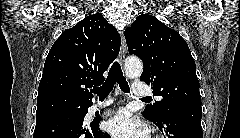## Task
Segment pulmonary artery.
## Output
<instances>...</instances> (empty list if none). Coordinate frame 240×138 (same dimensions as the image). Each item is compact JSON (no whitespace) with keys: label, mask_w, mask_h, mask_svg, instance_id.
Here are the masks:
<instances>
[{"label":"pulmonary artery","mask_w":240,"mask_h":138,"mask_svg":"<svg viewBox=\"0 0 240 138\" xmlns=\"http://www.w3.org/2000/svg\"><path fill=\"white\" fill-rule=\"evenodd\" d=\"M132 93L136 97L143 98V97H146V96L149 95L150 90L144 83L135 82L133 84V87H132ZM109 104H111L110 101H104V102H101V103H96V104L93 105V109L94 110H99L101 108H104V107L108 106Z\"/></svg>","instance_id":"1"}]
</instances>
